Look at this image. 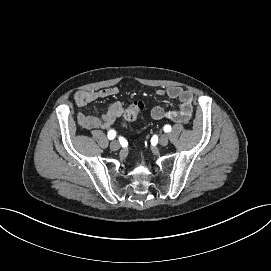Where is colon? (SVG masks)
<instances>
[{
    "label": "colon",
    "instance_id": "colon-1",
    "mask_svg": "<svg viewBox=\"0 0 271 271\" xmlns=\"http://www.w3.org/2000/svg\"><path fill=\"white\" fill-rule=\"evenodd\" d=\"M143 108L144 102L140 100L134 101L133 103L128 105L123 115L125 123H130L136 120Z\"/></svg>",
    "mask_w": 271,
    "mask_h": 271
}]
</instances>
